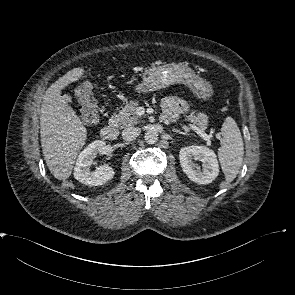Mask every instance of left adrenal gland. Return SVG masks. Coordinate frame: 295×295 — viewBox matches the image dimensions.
Returning a JSON list of instances; mask_svg holds the SVG:
<instances>
[{
    "label": "left adrenal gland",
    "instance_id": "a2214340",
    "mask_svg": "<svg viewBox=\"0 0 295 295\" xmlns=\"http://www.w3.org/2000/svg\"><path fill=\"white\" fill-rule=\"evenodd\" d=\"M172 131L175 133L181 134V135H189L187 132H182V131L175 129V128H173Z\"/></svg>",
    "mask_w": 295,
    "mask_h": 295
}]
</instances>
